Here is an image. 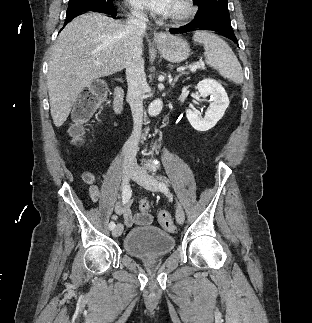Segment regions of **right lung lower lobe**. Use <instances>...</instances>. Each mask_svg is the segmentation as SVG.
Instances as JSON below:
<instances>
[{"label": "right lung lower lobe", "instance_id": "98d812e1", "mask_svg": "<svg viewBox=\"0 0 312 323\" xmlns=\"http://www.w3.org/2000/svg\"><path fill=\"white\" fill-rule=\"evenodd\" d=\"M92 11H96V12H102V13H107V14H109V15H111V17L112 18H116V15H117V11L114 9V8H112V9H93ZM81 13H77V14H75V15H73V16H68V17H66V19H65V23H64V26L68 23V22H70L74 17H76V16H78V15H80Z\"/></svg>", "mask_w": 312, "mask_h": 323}]
</instances>
